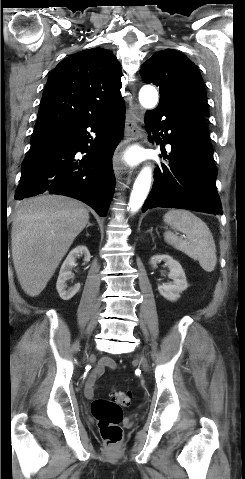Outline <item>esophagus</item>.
I'll use <instances>...</instances> for the list:
<instances>
[{"label": "esophagus", "mask_w": 245, "mask_h": 479, "mask_svg": "<svg viewBox=\"0 0 245 479\" xmlns=\"http://www.w3.org/2000/svg\"><path fill=\"white\" fill-rule=\"evenodd\" d=\"M142 121V109L136 104L131 105L129 112L126 115L125 139L122 145L115 151L113 157V168L117 176H119L123 170H126L123 160V155L126 148L130 144L136 143L143 138L141 127Z\"/></svg>", "instance_id": "1"}]
</instances>
